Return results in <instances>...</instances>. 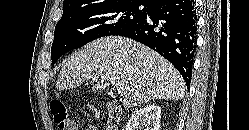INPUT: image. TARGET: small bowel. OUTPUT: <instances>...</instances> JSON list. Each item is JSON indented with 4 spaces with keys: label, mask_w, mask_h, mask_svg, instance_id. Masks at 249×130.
<instances>
[{
    "label": "small bowel",
    "mask_w": 249,
    "mask_h": 130,
    "mask_svg": "<svg viewBox=\"0 0 249 130\" xmlns=\"http://www.w3.org/2000/svg\"><path fill=\"white\" fill-rule=\"evenodd\" d=\"M86 130H98L97 127L90 125L86 128Z\"/></svg>",
    "instance_id": "obj_1"
}]
</instances>
